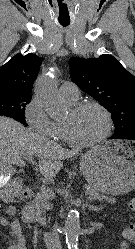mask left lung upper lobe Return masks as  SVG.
Listing matches in <instances>:
<instances>
[{"instance_id": "5c2ea615", "label": "left lung upper lobe", "mask_w": 135, "mask_h": 249, "mask_svg": "<svg viewBox=\"0 0 135 249\" xmlns=\"http://www.w3.org/2000/svg\"><path fill=\"white\" fill-rule=\"evenodd\" d=\"M73 82L112 114L114 135L135 128V76L109 54L70 59Z\"/></svg>"}]
</instances>
